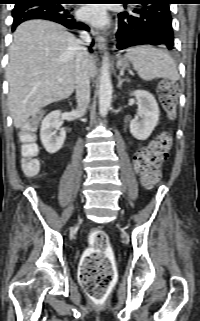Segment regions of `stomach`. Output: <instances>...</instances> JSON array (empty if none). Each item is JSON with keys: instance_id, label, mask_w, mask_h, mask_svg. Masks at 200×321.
<instances>
[{"instance_id": "obj_1", "label": "stomach", "mask_w": 200, "mask_h": 321, "mask_svg": "<svg viewBox=\"0 0 200 321\" xmlns=\"http://www.w3.org/2000/svg\"><path fill=\"white\" fill-rule=\"evenodd\" d=\"M117 67L120 70H126L130 67V60L127 58H119L117 61Z\"/></svg>"}]
</instances>
